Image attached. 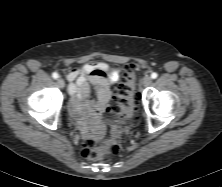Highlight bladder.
Listing matches in <instances>:
<instances>
[{
	"label": "bladder",
	"instance_id": "31cf9c89",
	"mask_svg": "<svg viewBox=\"0 0 222 187\" xmlns=\"http://www.w3.org/2000/svg\"><path fill=\"white\" fill-rule=\"evenodd\" d=\"M131 119H132V115H131V113H129V114H127V115L124 117L122 123H123V124H128V123L131 121Z\"/></svg>",
	"mask_w": 222,
	"mask_h": 187
}]
</instances>
